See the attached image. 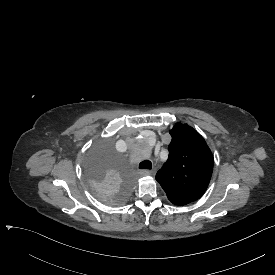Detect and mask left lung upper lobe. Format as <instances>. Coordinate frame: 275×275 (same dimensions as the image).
Instances as JSON below:
<instances>
[{
  "label": "left lung upper lobe",
  "mask_w": 275,
  "mask_h": 275,
  "mask_svg": "<svg viewBox=\"0 0 275 275\" xmlns=\"http://www.w3.org/2000/svg\"><path fill=\"white\" fill-rule=\"evenodd\" d=\"M169 157L156 174V180L175 205H186L206 191L213 155L203 137L191 126L176 123L170 130Z\"/></svg>",
  "instance_id": "1"
}]
</instances>
